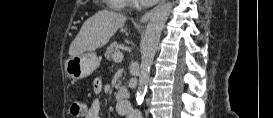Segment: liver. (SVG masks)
I'll return each instance as SVG.
<instances>
[{
    "instance_id": "liver-1",
    "label": "liver",
    "mask_w": 273,
    "mask_h": 118,
    "mask_svg": "<svg viewBox=\"0 0 273 118\" xmlns=\"http://www.w3.org/2000/svg\"><path fill=\"white\" fill-rule=\"evenodd\" d=\"M126 21L122 14L101 10L88 18L69 47V55L77 56L106 45Z\"/></svg>"
}]
</instances>
